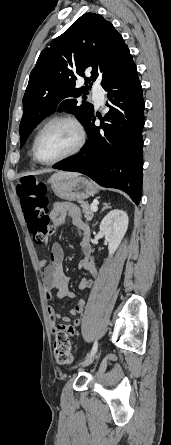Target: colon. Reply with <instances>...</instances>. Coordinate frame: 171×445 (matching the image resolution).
<instances>
[{
	"instance_id": "colon-1",
	"label": "colon",
	"mask_w": 171,
	"mask_h": 445,
	"mask_svg": "<svg viewBox=\"0 0 171 445\" xmlns=\"http://www.w3.org/2000/svg\"><path fill=\"white\" fill-rule=\"evenodd\" d=\"M47 190L44 182L32 177L22 179L17 185V195L28 230L37 244L44 243L54 231L47 213ZM53 346L58 363L68 365L72 362L70 341L63 330L56 332Z\"/></svg>"
}]
</instances>
